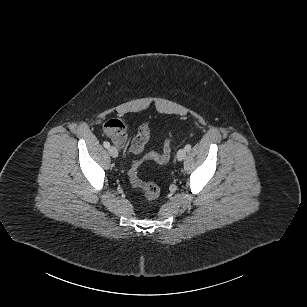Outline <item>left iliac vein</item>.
<instances>
[{
    "label": "left iliac vein",
    "instance_id": "4c4485c4",
    "mask_svg": "<svg viewBox=\"0 0 307 307\" xmlns=\"http://www.w3.org/2000/svg\"><path fill=\"white\" fill-rule=\"evenodd\" d=\"M185 157H186V150H185V149H180V150L177 152V159H178L179 161H182Z\"/></svg>",
    "mask_w": 307,
    "mask_h": 307
}]
</instances>
